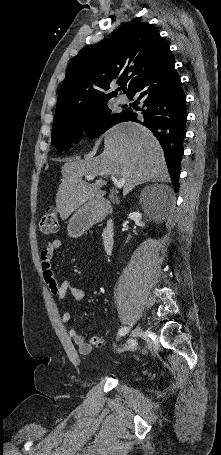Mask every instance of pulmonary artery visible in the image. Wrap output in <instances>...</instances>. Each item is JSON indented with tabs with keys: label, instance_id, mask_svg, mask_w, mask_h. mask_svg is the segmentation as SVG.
<instances>
[{
	"label": "pulmonary artery",
	"instance_id": "1",
	"mask_svg": "<svg viewBox=\"0 0 221 455\" xmlns=\"http://www.w3.org/2000/svg\"><path fill=\"white\" fill-rule=\"evenodd\" d=\"M118 101H119L120 103H127V102H128V98H127L125 95H120V96L118 97Z\"/></svg>",
	"mask_w": 221,
	"mask_h": 455
}]
</instances>
